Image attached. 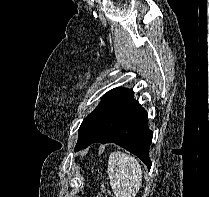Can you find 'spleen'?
<instances>
[{
    "label": "spleen",
    "instance_id": "1",
    "mask_svg": "<svg viewBox=\"0 0 209 197\" xmlns=\"http://www.w3.org/2000/svg\"><path fill=\"white\" fill-rule=\"evenodd\" d=\"M107 172L116 197L136 196L142 183V169L133 156L121 151L111 153Z\"/></svg>",
    "mask_w": 209,
    "mask_h": 197
}]
</instances>
